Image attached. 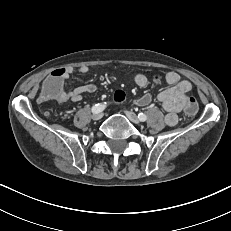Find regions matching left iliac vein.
<instances>
[{"instance_id": "4c4485c4", "label": "left iliac vein", "mask_w": 231, "mask_h": 231, "mask_svg": "<svg viewBox=\"0 0 231 231\" xmlns=\"http://www.w3.org/2000/svg\"><path fill=\"white\" fill-rule=\"evenodd\" d=\"M125 114L128 117V119L134 124L140 123L138 116L133 111H125Z\"/></svg>"}]
</instances>
